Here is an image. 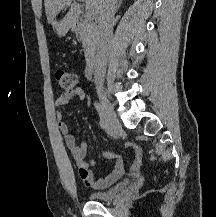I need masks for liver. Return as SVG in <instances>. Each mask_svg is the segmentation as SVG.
Segmentation results:
<instances>
[{
	"label": "liver",
	"instance_id": "liver-1",
	"mask_svg": "<svg viewBox=\"0 0 216 217\" xmlns=\"http://www.w3.org/2000/svg\"><path fill=\"white\" fill-rule=\"evenodd\" d=\"M83 2L88 10L98 14L103 0H83ZM44 5L48 23L52 24L59 37L64 36L70 28L74 27L80 16V6L75 2L72 3V0H44ZM65 7H70L68 13L61 21H57L56 16Z\"/></svg>",
	"mask_w": 216,
	"mask_h": 217
}]
</instances>
